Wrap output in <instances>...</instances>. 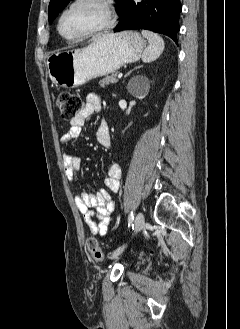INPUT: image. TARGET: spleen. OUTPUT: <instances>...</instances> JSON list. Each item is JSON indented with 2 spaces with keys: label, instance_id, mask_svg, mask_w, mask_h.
Here are the masks:
<instances>
[{
  "label": "spleen",
  "instance_id": "spleen-1",
  "mask_svg": "<svg viewBox=\"0 0 240 329\" xmlns=\"http://www.w3.org/2000/svg\"><path fill=\"white\" fill-rule=\"evenodd\" d=\"M142 35L149 42V46L145 48L142 54V61L150 63L156 60L163 52L165 47L164 40L158 34L147 30H142Z\"/></svg>",
  "mask_w": 240,
  "mask_h": 329
}]
</instances>
